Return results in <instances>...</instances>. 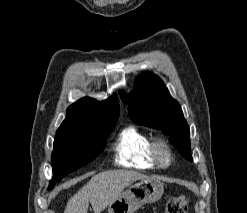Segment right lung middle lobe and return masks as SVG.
Returning <instances> with one entry per match:
<instances>
[{
  "label": "right lung middle lobe",
  "mask_w": 247,
  "mask_h": 213,
  "mask_svg": "<svg viewBox=\"0 0 247 213\" xmlns=\"http://www.w3.org/2000/svg\"><path fill=\"white\" fill-rule=\"evenodd\" d=\"M116 123L90 132L56 133L52 152L53 178L49 190L67 174L93 161L103 150Z\"/></svg>",
  "instance_id": "obj_1"
}]
</instances>
